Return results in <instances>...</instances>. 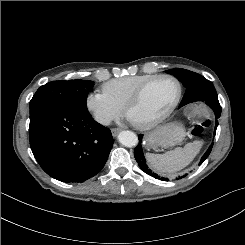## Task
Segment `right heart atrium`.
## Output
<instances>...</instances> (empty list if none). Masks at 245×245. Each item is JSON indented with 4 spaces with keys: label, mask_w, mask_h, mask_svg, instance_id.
<instances>
[{
    "label": "right heart atrium",
    "mask_w": 245,
    "mask_h": 245,
    "mask_svg": "<svg viewBox=\"0 0 245 245\" xmlns=\"http://www.w3.org/2000/svg\"><path fill=\"white\" fill-rule=\"evenodd\" d=\"M85 108L93 119L103 126L118 120L123 108L113 102L104 92L93 91L85 97Z\"/></svg>",
    "instance_id": "d8ad5b80"
}]
</instances>
